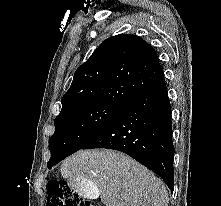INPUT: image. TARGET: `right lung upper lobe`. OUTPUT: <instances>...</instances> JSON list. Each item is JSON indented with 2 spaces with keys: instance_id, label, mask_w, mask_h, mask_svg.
<instances>
[{
  "instance_id": "cb5924a9",
  "label": "right lung upper lobe",
  "mask_w": 221,
  "mask_h": 206,
  "mask_svg": "<svg viewBox=\"0 0 221 206\" xmlns=\"http://www.w3.org/2000/svg\"><path fill=\"white\" fill-rule=\"evenodd\" d=\"M164 78L156 51L136 35L105 40L74 74L61 112L94 103L125 106Z\"/></svg>"
}]
</instances>
